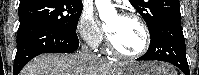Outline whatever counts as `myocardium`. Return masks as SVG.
Listing matches in <instances>:
<instances>
[{
    "label": "myocardium",
    "instance_id": "1",
    "mask_svg": "<svg viewBox=\"0 0 199 75\" xmlns=\"http://www.w3.org/2000/svg\"><path fill=\"white\" fill-rule=\"evenodd\" d=\"M122 18H125V19H133L135 21L138 22V24L140 25L142 31H143V34H144V44H143V47L141 50L135 52V53H128V52H125V51H122L121 49H119L113 42L112 40L110 39V37L108 36L107 37V45L109 47V49L111 51H113L114 53L122 56V57H125V58H131V59H134V58H138V57H141L142 55H144L149 47H150V43H151V36H150V31H149V28L146 24V22L144 21V19L142 17H140L139 15L135 14V13H122L121 16Z\"/></svg>",
    "mask_w": 199,
    "mask_h": 75
}]
</instances>
